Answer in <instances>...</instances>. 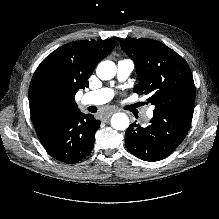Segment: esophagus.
<instances>
[{
    "instance_id": "1",
    "label": "esophagus",
    "mask_w": 219,
    "mask_h": 219,
    "mask_svg": "<svg viewBox=\"0 0 219 219\" xmlns=\"http://www.w3.org/2000/svg\"><path fill=\"white\" fill-rule=\"evenodd\" d=\"M117 111H118L117 108H113V109L110 111V113H109L108 115L106 114V115L103 116L102 120H103L104 122H107L109 116H110L113 112H117Z\"/></svg>"
}]
</instances>
